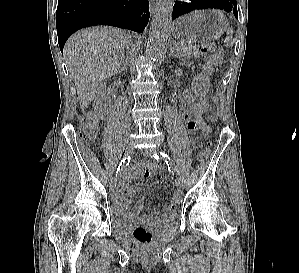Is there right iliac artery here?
Instances as JSON below:
<instances>
[{
  "label": "right iliac artery",
  "instance_id": "obj_1",
  "mask_svg": "<svg viewBox=\"0 0 299 273\" xmlns=\"http://www.w3.org/2000/svg\"><path fill=\"white\" fill-rule=\"evenodd\" d=\"M130 161H131L130 156H127L121 160V162L116 170V176L124 167H126L130 163Z\"/></svg>",
  "mask_w": 299,
  "mask_h": 273
}]
</instances>
